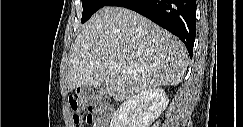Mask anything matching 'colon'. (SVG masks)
I'll return each mask as SVG.
<instances>
[{"mask_svg": "<svg viewBox=\"0 0 243 127\" xmlns=\"http://www.w3.org/2000/svg\"><path fill=\"white\" fill-rule=\"evenodd\" d=\"M68 104L76 127H82L84 122L93 127L106 126L109 111L103 105L88 103L80 93L70 95Z\"/></svg>", "mask_w": 243, "mask_h": 127, "instance_id": "5ec220e1", "label": "colon"}]
</instances>
